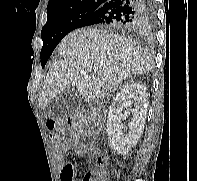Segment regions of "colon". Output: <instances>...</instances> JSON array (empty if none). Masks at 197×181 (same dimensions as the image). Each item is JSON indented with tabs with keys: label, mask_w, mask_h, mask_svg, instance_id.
<instances>
[{
	"label": "colon",
	"mask_w": 197,
	"mask_h": 181,
	"mask_svg": "<svg viewBox=\"0 0 197 181\" xmlns=\"http://www.w3.org/2000/svg\"><path fill=\"white\" fill-rule=\"evenodd\" d=\"M66 125L70 128V132L74 136H83L89 133L95 126V121L88 118L84 114H77L68 118L67 122L61 120H49L47 122V128L50 138L55 146L59 148L62 144V137L65 133ZM104 163V157L100 156L97 160L98 165ZM82 181H104L103 178L97 180L93 179L92 171H87L82 177Z\"/></svg>",
	"instance_id": "obj_1"
}]
</instances>
